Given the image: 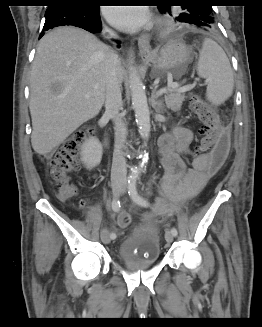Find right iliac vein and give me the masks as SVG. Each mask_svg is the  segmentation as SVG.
I'll use <instances>...</instances> for the list:
<instances>
[{"instance_id": "63e3f726", "label": "right iliac vein", "mask_w": 262, "mask_h": 327, "mask_svg": "<svg viewBox=\"0 0 262 327\" xmlns=\"http://www.w3.org/2000/svg\"><path fill=\"white\" fill-rule=\"evenodd\" d=\"M121 187H122V182L117 180V181H114L112 183V192L113 194L116 196L120 193L121 191ZM101 240L103 241V243L105 244H109L111 242V237L109 235V232L106 230V229H103L101 231Z\"/></svg>"}]
</instances>
